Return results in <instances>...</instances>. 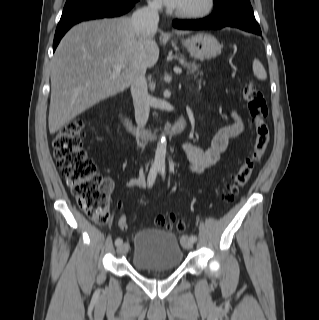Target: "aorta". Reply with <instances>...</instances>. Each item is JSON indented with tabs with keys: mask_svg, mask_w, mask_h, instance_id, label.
<instances>
[{
	"mask_svg": "<svg viewBox=\"0 0 319 320\" xmlns=\"http://www.w3.org/2000/svg\"><path fill=\"white\" fill-rule=\"evenodd\" d=\"M166 159V139L162 136L161 140L157 144L155 151L154 165L158 167H165Z\"/></svg>",
	"mask_w": 319,
	"mask_h": 320,
	"instance_id": "1",
	"label": "aorta"
}]
</instances>
